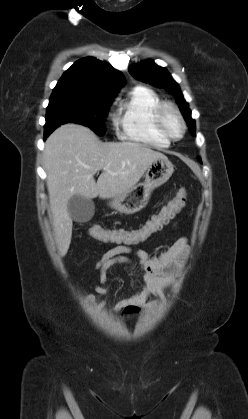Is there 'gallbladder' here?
Here are the masks:
<instances>
[{"mask_svg":"<svg viewBox=\"0 0 248 419\" xmlns=\"http://www.w3.org/2000/svg\"><path fill=\"white\" fill-rule=\"evenodd\" d=\"M67 207L70 217L76 222H87L94 215L95 206L93 201L80 195L72 196Z\"/></svg>","mask_w":248,"mask_h":419,"instance_id":"gallbladder-1","label":"gallbladder"}]
</instances>
